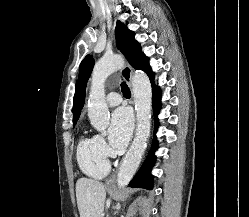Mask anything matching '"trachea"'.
I'll list each match as a JSON object with an SVG mask.
<instances>
[{
	"instance_id": "trachea-1",
	"label": "trachea",
	"mask_w": 249,
	"mask_h": 217,
	"mask_svg": "<svg viewBox=\"0 0 249 217\" xmlns=\"http://www.w3.org/2000/svg\"><path fill=\"white\" fill-rule=\"evenodd\" d=\"M121 90L123 93L124 97H130L131 96V92L130 89L128 88L127 84L125 82L121 83Z\"/></svg>"
}]
</instances>
